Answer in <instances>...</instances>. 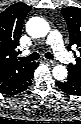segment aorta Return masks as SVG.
Returning <instances> with one entry per match:
<instances>
[{
    "mask_svg": "<svg viewBox=\"0 0 81 124\" xmlns=\"http://www.w3.org/2000/svg\"><path fill=\"white\" fill-rule=\"evenodd\" d=\"M26 31L31 37H44L49 33L50 26L45 19L40 17H33L26 23ZM52 73L54 78L59 81L64 80L68 75L67 68L61 64L56 65L53 68Z\"/></svg>",
    "mask_w": 81,
    "mask_h": 124,
    "instance_id": "1",
    "label": "aorta"
}]
</instances>
